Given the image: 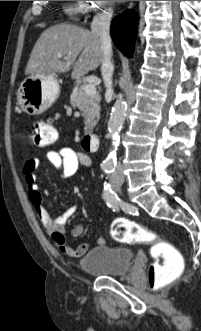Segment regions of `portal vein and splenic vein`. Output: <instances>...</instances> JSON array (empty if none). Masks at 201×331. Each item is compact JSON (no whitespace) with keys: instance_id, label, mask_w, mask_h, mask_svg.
<instances>
[{"instance_id":"18ae733b","label":"portal vein and splenic vein","mask_w":201,"mask_h":331,"mask_svg":"<svg viewBox=\"0 0 201 331\" xmlns=\"http://www.w3.org/2000/svg\"><path fill=\"white\" fill-rule=\"evenodd\" d=\"M57 56L60 58L62 54L58 53ZM84 91L88 95L96 94V86L93 83H88L84 86Z\"/></svg>"}]
</instances>
